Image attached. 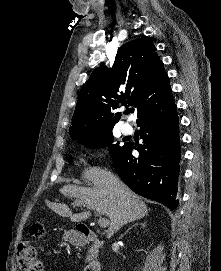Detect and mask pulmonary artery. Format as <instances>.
Here are the masks:
<instances>
[{
  "label": "pulmonary artery",
  "instance_id": "pulmonary-artery-1",
  "mask_svg": "<svg viewBox=\"0 0 221 271\" xmlns=\"http://www.w3.org/2000/svg\"><path fill=\"white\" fill-rule=\"evenodd\" d=\"M123 132H124V133H129V132H130L129 127H123Z\"/></svg>",
  "mask_w": 221,
  "mask_h": 271
}]
</instances>
